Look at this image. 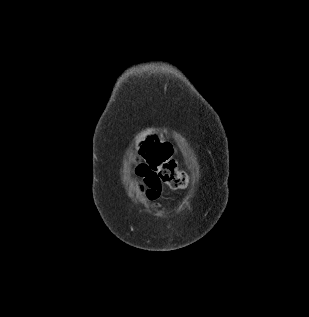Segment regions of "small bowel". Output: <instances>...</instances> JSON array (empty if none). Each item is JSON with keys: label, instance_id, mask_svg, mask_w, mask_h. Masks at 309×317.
Masks as SVG:
<instances>
[{"label": "small bowel", "instance_id": "c3829d8e", "mask_svg": "<svg viewBox=\"0 0 309 317\" xmlns=\"http://www.w3.org/2000/svg\"><path fill=\"white\" fill-rule=\"evenodd\" d=\"M136 175L142 180L141 186L146 187V195L150 200H156L159 197L160 184H152L149 177L152 175L146 163H141L136 168Z\"/></svg>", "mask_w": 309, "mask_h": 317}]
</instances>
